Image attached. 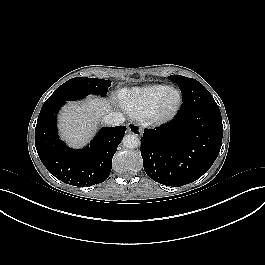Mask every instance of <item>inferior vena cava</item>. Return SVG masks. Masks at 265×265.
I'll list each match as a JSON object with an SVG mask.
<instances>
[{
	"instance_id": "obj_1",
	"label": "inferior vena cava",
	"mask_w": 265,
	"mask_h": 265,
	"mask_svg": "<svg viewBox=\"0 0 265 265\" xmlns=\"http://www.w3.org/2000/svg\"><path fill=\"white\" fill-rule=\"evenodd\" d=\"M125 118L122 113L111 112L104 116L103 122L108 126H119L123 124Z\"/></svg>"
}]
</instances>
